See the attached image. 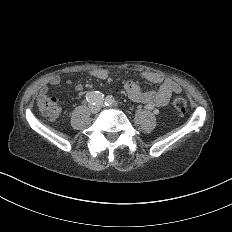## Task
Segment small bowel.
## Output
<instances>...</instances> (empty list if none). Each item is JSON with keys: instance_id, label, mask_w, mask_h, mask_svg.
Listing matches in <instances>:
<instances>
[{"instance_id": "obj_1", "label": "small bowel", "mask_w": 232, "mask_h": 232, "mask_svg": "<svg viewBox=\"0 0 232 232\" xmlns=\"http://www.w3.org/2000/svg\"><path fill=\"white\" fill-rule=\"evenodd\" d=\"M109 71L107 69L94 70V78H81L79 83L82 85H91L96 81L104 80L108 76ZM143 77L159 84L160 89L158 91L140 89L134 80H127L125 87L127 89L129 98L132 102L150 103L157 106L167 105L172 93L180 91L179 84L172 78L163 77L160 73L155 71H145ZM50 84L53 87H61L70 85L71 81L61 77H54L51 79ZM49 88L43 86L40 89L42 94L48 93Z\"/></svg>"}]
</instances>
